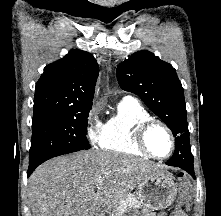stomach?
<instances>
[{"label": "stomach", "instance_id": "1", "mask_svg": "<svg viewBox=\"0 0 221 216\" xmlns=\"http://www.w3.org/2000/svg\"><path fill=\"white\" fill-rule=\"evenodd\" d=\"M177 184L168 171L156 173L143 179L137 187L139 209L144 213L152 214L153 211L169 207L177 196ZM142 216L137 209L127 210L122 216Z\"/></svg>", "mask_w": 221, "mask_h": 216}]
</instances>
